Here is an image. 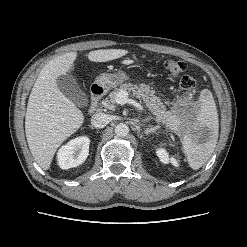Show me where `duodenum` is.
<instances>
[{"instance_id":"obj_1","label":"duodenum","mask_w":247,"mask_h":247,"mask_svg":"<svg viewBox=\"0 0 247 247\" xmlns=\"http://www.w3.org/2000/svg\"><path fill=\"white\" fill-rule=\"evenodd\" d=\"M105 93V88L100 84H93L91 87V103L89 112L94 113L98 108L99 101Z\"/></svg>"}]
</instances>
